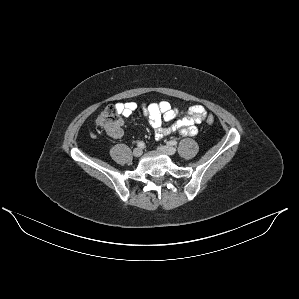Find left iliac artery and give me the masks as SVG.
Instances as JSON below:
<instances>
[{
    "mask_svg": "<svg viewBox=\"0 0 299 299\" xmlns=\"http://www.w3.org/2000/svg\"><path fill=\"white\" fill-rule=\"evenodd\" d=\"M168 144L172 145V146H175V145H177V141L171 140V141L168 142Z\"/></svg>",
    "mask_w": 299,
    "mask_h": 299,
    "instance_id": "1",
    "label": "left iliac artery"
}]
</instances>
